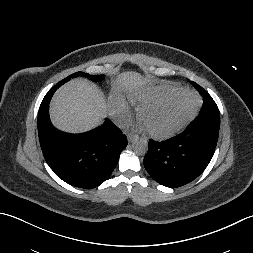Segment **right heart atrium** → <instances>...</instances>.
Masks as SVG:
<instances>
[{"label": "right heart atrium", "mask_w": 253, "mask_h": 253, "mask_svg": "<svg viewBox=\"0 0 253 253\" xmlns=\"http://www.w3.org/2000/svg\"><path fill=\"white\" fill-rule=\"evenodd\" d=\"M120 113H121V120L123 122L128 121L129 117H130V112L127 106L122 105L120 106Z\"/></svg>", "instance_id": "obj_1"}]
</instances>
